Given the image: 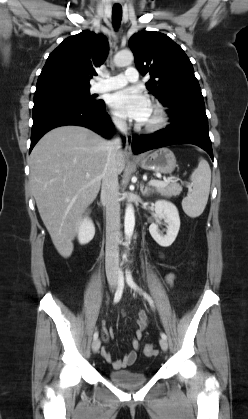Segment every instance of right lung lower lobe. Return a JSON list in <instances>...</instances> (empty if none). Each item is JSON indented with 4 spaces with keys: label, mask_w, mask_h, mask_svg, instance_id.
<instances>
[{
    "label": "right lung lower lobe",
    "mask_w": 248,
    "mask_h": 419,
    "mask_svg": "<svg viewBox=\"0 0 248 419\" xmlns=\"http://www.w3.org/2000/svg\"><path fill=\"white\" fill-rule=\"evenodd\" d=\"M64 125L84 126L106 138L114 130L104 102L100 106L68 99L34 102L30 152L46 132Z\"/></svg>",
    "instance_id": "98d812e1"
}]
</instances>
